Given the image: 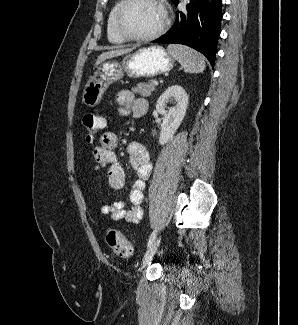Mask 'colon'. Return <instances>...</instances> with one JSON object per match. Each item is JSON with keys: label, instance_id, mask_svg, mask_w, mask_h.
<instances>
[{"label": "colon", "instance_id": "1", "mask_svg": "<svg viewBox=\"0 0 298 325\" xmlns=\"http://www.w3.org/2000/svg\"><path fill=\"white\" fill-rule=\"evenodd\" d=\"M86 130V140L92 143L97 133L105 126V120L97 113H87L83 117ZM106 242L110 249L119 257L127 258L132 255L133 248L127 238L118 230L110 229L106 233Z\"/></svg>", "mask_w": 298, "mask_h": 325}]
</instances>
